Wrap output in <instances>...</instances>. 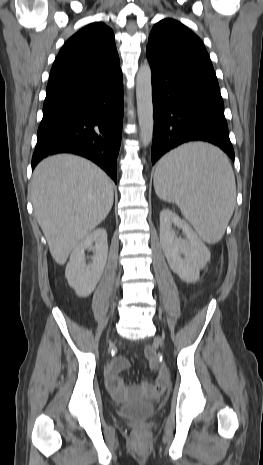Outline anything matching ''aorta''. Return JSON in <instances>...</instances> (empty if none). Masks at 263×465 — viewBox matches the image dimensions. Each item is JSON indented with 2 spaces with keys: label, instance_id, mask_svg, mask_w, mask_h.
Returning <instances> with one entry per match:
<instances>
[{
  "label": "aorta",
  "instance_id": "1",
  "mask_svg": "<svg viewBox=\"0 0 263 465\" xmlns=\"http://www.w3.org/2000/svg\"><path fill=\"white\" fill-rule=\"evenodd\" d=\"M152 73L148 63L140 66L136 76V100L140 141L147 147L153 136Z\"/></svg>",
  "mask_w": 263,
  "mask_h": 465
}]
</instances>
